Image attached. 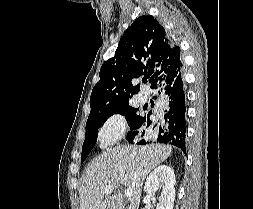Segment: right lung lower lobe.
I'll return each mask as SVG.
<instances>
[{"mask_svg": "<svg viewBox=\"0 0 253 209\" xmlns=\"http://www.w3.org/2000/svg\"><path fill=\"white\" fill-rule=\"evenodd\" d=\"M161 86H163L161 91L166 95L164 119L154 122L153 126L145 131V126L148 127L152 121L149 115L142 117L139 124L133 126L134 129L128 133L126 139L132 144H145L146 139H153L155 142L172 144L186 154V107L182 72H174L169 75L163 80ZM139 128L143 130L138 131ZM139 138H141L140 141Z\"/></svg>", "mask_w": 253, "mask_h": 209, "instance_id": "right-lung-lower-lobe-1", "label": "right lung lower lobe"}]
</instances>
